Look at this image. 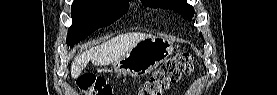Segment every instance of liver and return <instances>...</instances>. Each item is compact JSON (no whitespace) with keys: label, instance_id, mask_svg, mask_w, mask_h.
I'll return each instance as SVG.
<instances>
[{"label":"liver","instance_id":"6515ba94","mask_svg":"<svg viewBox=\"0 0 277 95\" xmlns=\"http://www.w3.org/2000/svg\"><path fill=\"white\" fill-rule=\"evenodd\" d=\"M151 37L143 33H127L92 47L77 55L71 64V76L76 79L91 61L95 66L117 62L141 40Z\"/></svg>","mask_w":277,"mask_h":95}]
</instances>
